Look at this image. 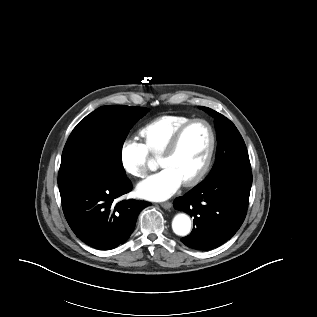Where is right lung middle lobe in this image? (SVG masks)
<instances>
[{"label":"right lung middle lobe","mask_w":317,"mask_h":317,"mask_svg":"<svg viewBox=\"0 0 317 317\" xmlns=\"http://www.w3.org/2000/svg\"><path fill=\"white\" fill-rule=\"evenodd\" d=\"M148 108L123 105L102 106L74 128L61 157L58 185L62 187L78 173L100 165H110L125 172L121 152L133 125Z\"/></svg>","instance_id":"right-lung-middle-lobe-1"}]
</instances>
